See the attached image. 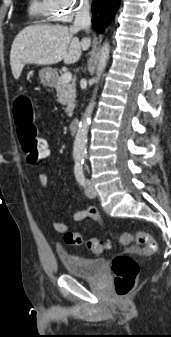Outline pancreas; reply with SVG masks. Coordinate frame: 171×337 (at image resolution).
Instances as JSON below:
<instances>
[{
    "label": "pancreas",
    "instance_id": "cf45deb5",
    "mask_svg": "<svg viewBox=\"0 0 171 337\" xmlns=\"http://www.w3.org/2000/svg\"><path fill=\"white\" fill-rule=\"evenodd\" d=\"M61 75L56 82V92L58 97V102L62 105H67V115L69 117L73 114L74 102L76 97L75 83H65L63 82Z\"/></svg>",
    "mask_w": 171,
    "mask_h": 337
}]
</instances>
